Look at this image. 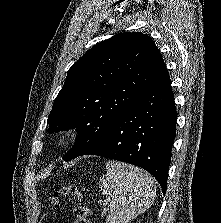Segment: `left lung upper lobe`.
<instances>
[{"label":"left lung upper lobe","instance_id":"1","mask_svg":"<svg viewBox=\"0 0 221 223\" xmlns=\"http://www.w3.org/2000/svg\"><path fill=\"white\" fill-rule=\"evenodd\" d=\"M164 61L143 33L124 32L94 45L69 69L48 118L49 132L77 128L63 157H78L155 81Z\"/></svg>","mask_w":221,"mask_h":223}]
</instances>
